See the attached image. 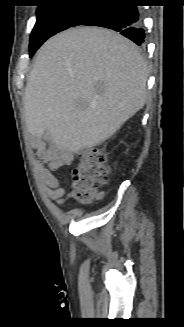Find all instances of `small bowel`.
Instances as JSON below:
<instances>
[{
    "label": "small bowel",
    "instance_id": "obj_1",
    "mask_svg": "<svg viewBox=\"0 0 184 327\" xmlns=\"http://www.w3.org/2000/svg\"><path fill=\"white\" fill-rule=\"evenodd\" d=\"M37 154L40 159L35 161V166L39 176L48 186L46 193L58 205H62L64 203L65 189L61 184V177L55 176L53 171L61 166L71 165L74 157L70 152L60 151L55 147L41 148L37 151Z\"/></svg>",
    "mask_w": 184,
    "mask_h": 327
}]
</instances>
